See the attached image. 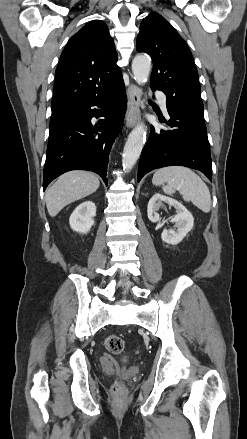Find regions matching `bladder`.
<instances>
[{"instance_id":"31cf9c89","label":"bladder","mask_w":247,"mask_h":439,"mask_svg":"<svg viewBox=\"0 0 247 439\" xmlns=\"http://www.w3.org/2000/svg\"><path fill=\"white\" fill-rule=\"evenodd\" d=\"M128 359L127 358H124V361H127Z\"/></svg>"}]
</instances>
